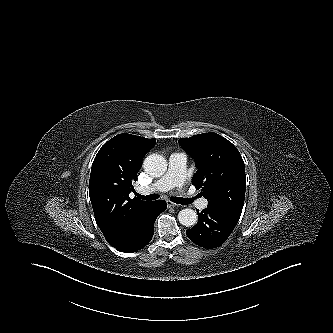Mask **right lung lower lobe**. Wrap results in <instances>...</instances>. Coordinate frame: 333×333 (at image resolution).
<instances>
[{
	"label": "right lung lower lobe",
	"mask_w": 333,
	"mask_h": 333,
	"mask_svg": "<svg viewBox=\"0 0 333 333\" xmlns=\"http://www.w3.org/2000/svg\"><path fill=\"white\" fill-rule=\"evenodd\" d=\"M166 207L167 204L164 200L153 201L152 205L135 219L125 238L114 248L121 252L131 253L145 247L153 237V227L157 216Z\"/></svg>",
	"instance_id": "1"
}]
</instances>
